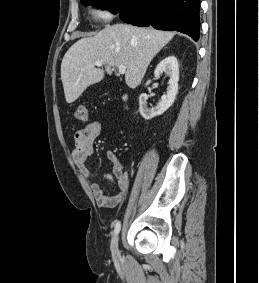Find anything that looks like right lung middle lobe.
<instances>
[{
  "label": "right lung middle lobe",
  "instance_id": "obj_1",
  "mask_svg": "<svg viewBox=\"0 0 259 283\" xmlns=\"http://www.w3.org/2000/svg\"><path fill=\"white\" fill-rule=\"evenodd\" d=\"M121 0H81L84 5H94L99 7H107L114 13H118V6Z\"/></svg>",
  "mask_w": 259,
  "mask_h": 283
}]
</instances>
